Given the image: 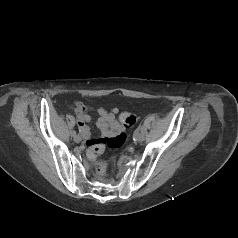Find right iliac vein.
<instances>
[{
    "label": "right iliac vein",
    "instance_id": "right-iliac-vein-1",
    "mask_svg": "<svg viewBox=\"0 0 238 238\" xmlns=\"http://www.w3.org/2000/svg\"><path fill=\"white\" fill-rule=\"evenodd\" d=\"M74 141H75L76 143H80V142H81V136H80V135H75V136H74Z\"/></svg>",
    "mask_w": 238,
    "mask_h": 238
}]
</instances>
